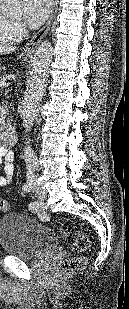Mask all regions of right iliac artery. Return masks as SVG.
Segmentation results:
<instances>
[{
    "instance_id": "obj_1",
    "label": "right iliac artery",
    "mask_w": 129,
    "mask_h": 309,
    "mask_svg": "<svg viewBox=\"0 0 129 309\" xmlns=\"http://www.w3.org/2000/svg\"><path fill=\"white\" fill-rule=\"evenodd\" d=\"M34 170L32 167H30L28 169V172H27V180H26V183L24 184L23 186V190L24 191H30L31 190V186H32V182H33V179H34V174H33Z\"/></svg>"
}]
</instances>
